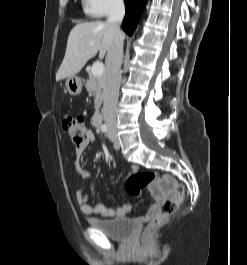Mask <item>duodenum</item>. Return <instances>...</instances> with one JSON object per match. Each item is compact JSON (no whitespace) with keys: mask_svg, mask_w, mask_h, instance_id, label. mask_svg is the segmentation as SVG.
<instances>
[{"mask_svg":"<svg viewBox=\"0 0 247 265\" xmlns=\"http://www.w3.org/2000/svg\"><path fill=\"white\" fill-rule=\"evenodd\" d=\"M101 124H102V116L96 115L94 118V126L98 129L101 127Z\"/></svg>","mask_w":247,"mask_h":265,"instance_id":"duodenum-1","label":"duodenum"}]
</instances>
